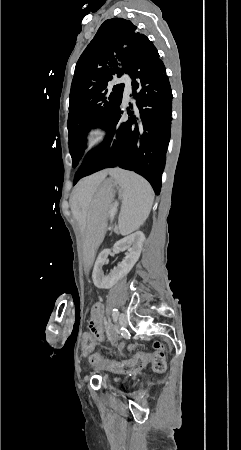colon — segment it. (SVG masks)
Instances as JSON below:
<instances>
[{
	"mask_svg": "<svg viewBox=\"0 0 241 450\" xmlns=\"http://www.w3.org/2000/svg\"><path fill=\"white\" fill-rule=\"evenodd\" d=\"M82 344L84 345V352L86 353L88 350H91V348L94 345V333L92 331H87L85 333V336L82 337ZM153 348L157 351L160 350V353H155L152 357L150 356L148 359L151 361H154V370L156 373H162L165 370L166 364L165 359L168 357V352L166 351V347L164 345H161L159 341H153L152 343ZM86 359L87 362H95L98 360H104L100 359L101 355L99 354V351H94L91 355L87 356ZM146 363V359L143 356H137L130 360H128L125 363L117 364V362H112V365L110 362H107L105 365L107 367L111 366V369L117 372H122L125 374H133L134 372L140 370ZM104 365V364H103Z\"/></svg>",
	"mask_w": 241,
	"mask_h": 450,
	"instance_id": "5ec220e1",
	"label": "colon"
}]
</instances>
